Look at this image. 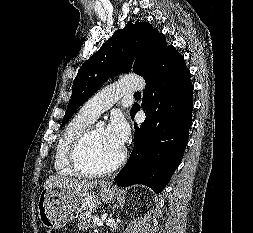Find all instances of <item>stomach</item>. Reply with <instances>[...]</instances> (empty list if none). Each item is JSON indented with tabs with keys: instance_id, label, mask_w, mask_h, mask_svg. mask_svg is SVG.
I'll return each mask as SVG.
<instances>
[{
	"instance_id": "obj_1",
	"label": "stomach",
	"mask_w": 253,
	"mask_h": 233,
	"mask_svg": "<svg viewBox=\"0 0 253 233\" xmlns=\"http://www.w3.org/2000/svg\"><path fill=\"white\" fill-rule=\"evenodd\" d=\"M114 188L109 183H101L98 195L94 192L75 193L63 187H45L39 196L38 216L41 224L49 229H59L76 218L83 210L95 209L98 197L112 200Z\"/></svg>"
}]
</instances>
